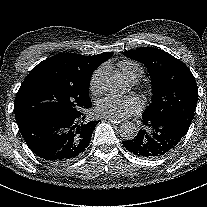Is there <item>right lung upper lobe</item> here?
Listing matches in <instances>:
<instances>
[{"label": "right lung upper lobe", "instance_id": "obj_1", "mask_svg": "<svg viewBox=\"0 0 207 207\" xmlns=\"http://www.w3.org/2000/svg\"><path fill=\"white\" fill-rule=\"evenodd\" d=\"M112 55V52L94 56L59 53L40 62L27 77L44 74L69 79L80 84H89L93 71Z\"/></svg>", "mask_w": 207, "mask_h": 207}]
</instances>
